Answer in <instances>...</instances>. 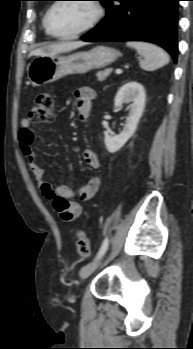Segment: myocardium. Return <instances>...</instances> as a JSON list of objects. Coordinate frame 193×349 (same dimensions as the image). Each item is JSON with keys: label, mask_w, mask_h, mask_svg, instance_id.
<instances>
[{"label": "myocardium", "mask_w": 193, "mask_h": 349, "mask_svg": "<svg viewBox=\"0 0 193 349\" xmlns=\"http://www.w3.org/2000/svg\"><path fill=\"white\" fill-rule=\"evenodd\" d=\"M61 1H63V0H57L53 4H51V6L47 9V11L45 13V17H44V25H45V29H46L47 33L51 37L59 39V40H71V39H75V38H78V37L84 35L85 33L89 32L93 28H95L100 23V21L103 19L104 15H105L104 6L102 5V3L100 1H98V0H86V2H90L95 9V16H94L93 20L87 26L76 31L75 33L68 34V35H59V34L55 33L51 28L50 16H51L52 11L54 10V8L58 4L64 3Z\"/></svg>", "instance_id": "myocardium-1"}]
</instances>
